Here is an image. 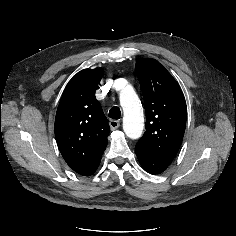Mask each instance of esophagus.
<instances>
[{"label":"esophagus","instance_id":"obj_1","mask_svg":"<svg viewBox=\"0 0 236 236\" xmlns=\"http://www.w3.org/2000/svg\"><path fill=\"white\" fill-rule=\"evenodd\" d=\"M109 125L112 130H115L120 126V122L119 120H110Z\"/></svg>","mask_w":236,"mask_h":236}]
</instances>
